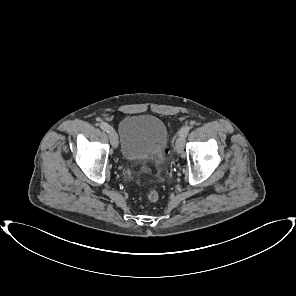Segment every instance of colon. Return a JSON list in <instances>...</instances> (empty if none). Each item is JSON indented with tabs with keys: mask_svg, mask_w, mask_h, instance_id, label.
Wrapping results in <instances>:
<instances>
[{
	"mask_svg": "<svg viewBox=\"0 0 296 296\" xmlns=\"http://www.w3.org/2000/svg\"><path fill=\"white\" fill-rule=\"evenodd\" d=\"M164 152L167 153L168 150L165 149ZM145 188H146V191H147V197H148V199L150 201H152V202L157 201L158 198H159L158 192L155 189L151 188V187H145Z\"/></svg>",
	"mask_w": 296,
	"mask_h": 296,
	"instance_id": "obj_1",
	"label": "colon"
}]
</instances>
